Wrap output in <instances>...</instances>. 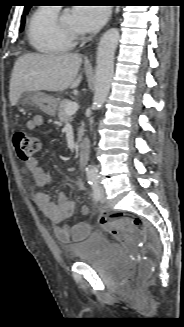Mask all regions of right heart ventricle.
Segmentation results:
<instances>
[{
  "label": "right heart ventricle",
  "instance_id": "e07e8e85",
  "mask_svg": "<svg viewBox=\"0 0 184 327\" xmlns=\"http://www.w3.org/2000/svg\"><path fill=\"white\" fill-rule=\"evenodd\" d=\"M59 9L39 7L31 15L27 36L31 46L46 54H59L72 49L74 40L60 31L57 25Z\"/></svg>",
  "mask_w": 184,
  "mask_h": 327
}]
</instances>
